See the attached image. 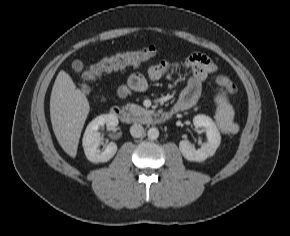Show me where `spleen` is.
Segmentation results:
<instances>
[{
  "label": "spleen",
  "mask_w": 290,
  "mask_h": 236,
  "mask_svg": "<svg viewBox=\"0 0 290 236\" xmlns=\"http://www.w3.org/2000/svg\"><path fill=\"white\" fill-rule=\"evenodd\" d=\"M215 101L218 105L215 114L216 122L221 131L226 133L233 123L234 109L224 95H218Z\"/></svg>",
  "instance_id": "obj_1"
}]
</instances>
